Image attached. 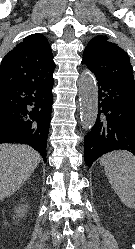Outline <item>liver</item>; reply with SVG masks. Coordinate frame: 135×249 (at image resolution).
Returning a JSON list of instances; mask_svg holds the SVG:
<instances>
[{"instance_id":"6515ba94","label":"liver","mask_w":135,"mask_h":249,"mask_svg":"<svg viewBox=\"0 0 135 249\" xmlns=\"http://www.w3.org/2000/svg\"><path fill=\"white\" fill-rule=\"evenodd\" d=\"M40 160V154L30 146L0 144V201L21 188Z\"/></svg>"}]
</instances>
